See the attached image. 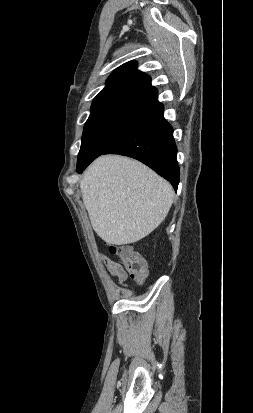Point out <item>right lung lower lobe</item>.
Segmentation results:
<instances>
[{
	"mask_svg": "<svg viewBox=\"0 0 253 413\" xmlns=\"http://www.w3.org/2000/svg\"><path fill=\"white\" fill-rule=\"evenodd\" d=\"M103 154H120L137 159L167 179L177 190L179 183L177 147L173 138V128L164 119L163 110L151 116L137 130L111 146ZM91 162L78 165L77 172H82Z\"/></svg>",
	"mask_w": 253,
	"mask_h": 413,
	"instance_id": "right-lung-lower-lobe-1",
	"label": "right lung lower lobe"
}]
</instances>
